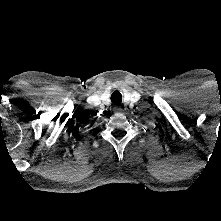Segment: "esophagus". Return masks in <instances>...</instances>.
Instances as JSON below:
<instances>
[{
    "label": "esophagus",
    "instance_id": "obj_1",
    "mask_svg": "<svg viewBox=\"0 0 221 221\" xmlns=\"http://www.w3.org/2000/svg\"><path fill=\"white\" fill-rule=\"evenodd\" d=\"M114 112L116 113H121L123 111V109L120 106H114L113 107Z\"/></svg>",
    "mask_w": 221,
    "mask_h": 221
}]
</instances>
